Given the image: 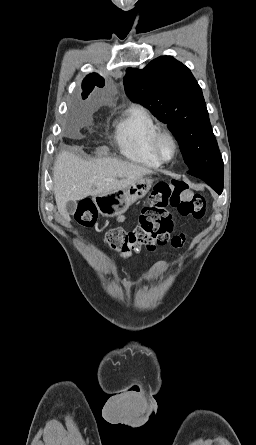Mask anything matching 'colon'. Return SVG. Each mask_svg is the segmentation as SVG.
Masks as SVG:
<instances>
[{
    "label": "colon",
    "mask_w": 256,
    "mask_h": 445,
    "mask_svg": "<svg viewBox=\"0 0 256 445\" xmlns=\"http://www.w3.org/2000/svg\"><path fill=\"white\" fill-rule=\"evenodd\" d=\"M171 209L182 216L203 218L206 204L199 193L191 192L180 180L157 181L146 198L138 224L132 229L112 228L105 234L107 244L123 256H130L142 249L153 251L165 245L172 231ZM78 224L85 228L97 222L94 204L90 200L80 202L75 213Z\"/></svg>",
    "instance_id": "colon-1"
}]
</instances>
